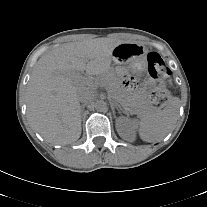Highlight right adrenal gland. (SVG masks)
Here are the masks:
<instances>
[{
  "mask_svg": "<svg viewBox=\"0 0 207 207\" xmlns=\"http://www.w3.org/2000/svg\"><path fill=\"white\" fill-rule=\"evenodd\" d=\"M85 106V104L81 105V113H83Z\"/></svg>",
  "mask_w": 207,
  "mask_h": 207,
  "instance_id": "right-adrenal-gland-1",
  "label": "right adrenal gland"
}]
</instances>
